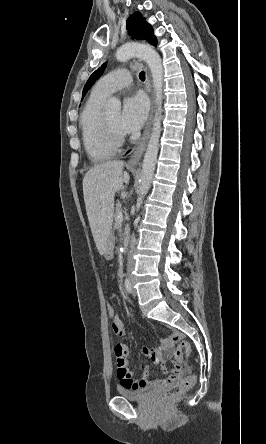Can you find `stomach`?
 <instances>
[{
    "label": "stomach",
    "instance_id": "stomach-1",
    "mask_svg": "<svg viewBox=\"0 0 266 444\" xmlns=\"http://www.w3.org/2000/svg\"><path fill=\"white\" fill-rule=\"evenodd\" d=\"M113 242H114L113 237L110 236L106 242L105 251H104V256L107 259H111L113 256L112 254Z\"/></svg>",
    "mask_w": 266,
    "mask_h": 444
}]
</instances>
